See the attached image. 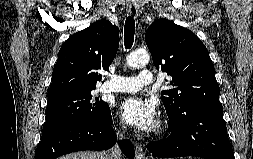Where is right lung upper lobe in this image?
Listing matches in <instances>:
<instances>
[{
    "mask_svg": "<svg viewBox=\"0 0 253 159\" xmlns=\"http://www.w3.org/2000/svg\"><path fill=\"white\" fill-rule=\"evenodd\" d=\"M118 47L119 29L108 20L73 34L59 51L48 99L96 89L102 78L97 71L109 70Z\"/></svg>",
    "mask_w": 253,
    "mask_h": 159,
    "instance_id": "obj_1",
    "label": "right lung upper lobe"
}]
</instances>
